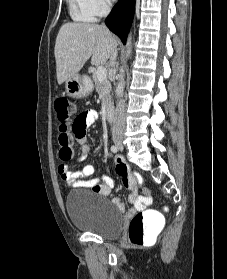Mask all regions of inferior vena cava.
Returning <instances> with one entry per match:
<instances>
[{
  "label": "inferior vena cava",
  "mask_w": 227,
  "mask_h": 279,
  "mask_svg": "<svg viewBox=\"0 0 227 279\" xmlns=\"http://www.w3.org/2000/svg\"><path fill=\"white\" fill-rule=\"evenodd\" d=\"M117 49L114 47L111 56H110V64L112 67H115L116 58H117ZM126 125V117H125V101L120 99L117 103L115 116L113 121L112 135L113 137L122 135L125 130Z\"/></svg>",
  "instance_id": "602c4592"
}]
</instances>
